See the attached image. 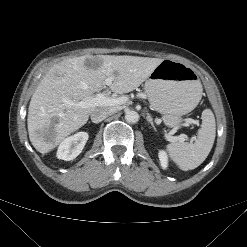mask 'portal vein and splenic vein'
<instances>
[{"instance_id": "1", "label": "portal vein and splenic vein", "mask_w": 247, "mask_h": 247, "mask_svg": "<svg viewBox=\"0 0 247 247\" xmlns=\"http://www.w3.org/2000/svg\"><path fill=\"white\" fill-rule=\"evenodd\" d=\"M112 80L110 78H108L106 80V84L109 85L111 84ZM127 97H117V98H111V97H107L105 95V93L103 92H99L97 93L95 96L90 97L88 99L82 100L76 104L71 103L69 101H65L66 103L70 104V105H75L76 107H81V108H86V107H95V106H116V105H121L124 104L127 101ZM167 138L170 141H176L179 140L181 142H184L186 139L185 135H179L177 137H173V136H167Z\"/></svg>"}]
</instances>
